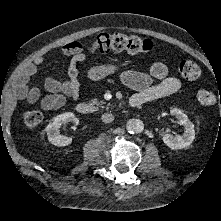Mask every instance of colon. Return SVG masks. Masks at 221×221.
Returning <instances> with one entry per match:
<instances>
[{
	"mask_svg": "<svg viewBox=\"0 0 221 221\" xmlns=\"http://www.w3.org/2000/svg\"><path fill=\"white\" fill-rule=\"evenodd\" d=\"M153 44L148 39L138 36H128L121 33L100 34L91 43L90 49L95 53H108L126 51L128 53H149ZM179 74L185 80H196L201 74L199 65L192 59H183L178 66ZM216 95L206 89L199 90L197 101L203 106L216 103ZM22 123L27 128H34L42 121V114L38 110H28L22 114Z\"/></svg>",
	"mask_w": 221,
	"mask_h": 221,
	"instance_id": "1",
	"label": "colon"
}]
</instances>
